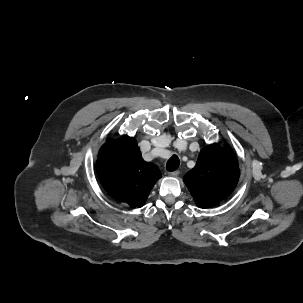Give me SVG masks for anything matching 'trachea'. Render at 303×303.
Segmentation results:
<instances>
[{
  "label": "trachea",
  "mask_w": 303,
  "mask_h": 303,
  "mask_svg": "<svg viewBox=\"0 0 303 303\" xmlns=\"http://www.w3.org/2000/svg\"><path fill=\"white\" fill-rule=\"evenodd\" d=\"M180 164V160L177 155H173L166 164L167 171L173 172L175 171Z\"/></svg>",
  "instance_id": "3493384b"
}]
</instances>
